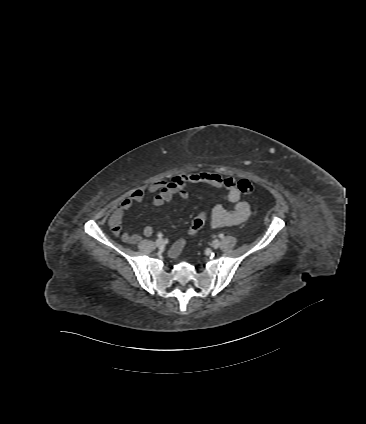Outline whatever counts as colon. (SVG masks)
Masks as SVG:
<instances>
[{
	"label": "colon",
	"mask_w": 366,
	"mask_h": 424,
	"mask_svg": "<svg viewBox=\"0 0 366 424\" xmlns=\"http://www.w3.org/2000/svg\"><path fill=\"white\" fill-rule=\"evenodd\" d=\"M238 188L241 191L242 194H251L254 190L253 185L247 181V180H240L238 182ZM206 221V214L205 213H200L199 215H197L190 226V234L194 235L196 234L205 224Z\"/></svg>",
	"instance_id": "obj_1"
}]
</instances>
